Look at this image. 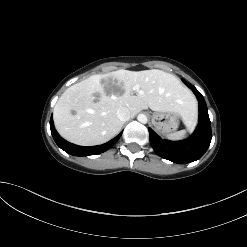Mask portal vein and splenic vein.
Returning <instances> with one entry per match:
<instances>
[{"instance_id": "1", "label": "portal vein and splenic vein", "mask_w": 247, "mask_h": 247, "mask_svg": "<svg viewBox=\"0 0 247 247\" xmlns=\"http://www.w3.org/2000/svg\"><path fill=\"white\" fill-rule=\"evenodd\" d=\"M133 90H139V87L138 86H135L134 88H133Z\"/></svg>"}]
</instances>
